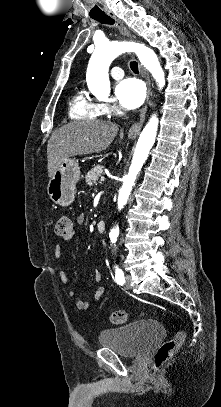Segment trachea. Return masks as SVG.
I'll return each instance as SVG.
<instances>
[{
  "mask_svg": "<svg viewBox=\"0 0 221 407\" xmlns=\"http://www.w3.org/2000/svg\"><path fill=\"white\" fill-rule=\"evenodd\" d=\"M92 19L97 20L102 24H109V25L114 24V20L105 13H102V14H99L96 16H92ZM130 67L134 73L138 74V63L137 62L132 61L130 63Z\"/></svg>",
  "mask_w": 221,
  "mask_h": 407,
  "instance_id": "1",
  "label": "trachea"
}]
</instances>
